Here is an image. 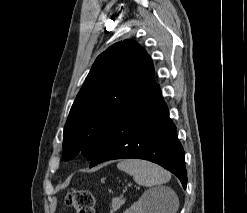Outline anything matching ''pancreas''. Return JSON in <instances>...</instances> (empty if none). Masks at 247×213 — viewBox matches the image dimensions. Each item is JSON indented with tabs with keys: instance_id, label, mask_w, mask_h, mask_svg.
Returning <instances> with one entry per match:
<instances>
[{
	"instance_id": "cf45deb5",
	"label": "pancreas",
	"mask_w": 247,
	"mask_h": 213,
	"mask_svg": "<svg viewBox=\"0 0 247 213\" xmlns=\"http://www.w3.org/2000/svg\"><path fill=\"white\" fill-rule=\"evenodd\" d=\"M124 203H125V199L123 198V196L113 198L111 203V208H112L111 213L113 211L118 210Z\"/></svg>"
}]
</instances>
